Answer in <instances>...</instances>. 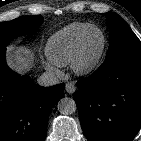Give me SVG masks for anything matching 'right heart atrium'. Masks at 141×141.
Wrapping results in <instances>:
<instances>
[{
    "instance_id": "obj_1",
    "label": "right heart atrium",
    "mask_w": 141,
    "mask_h": 141,
    "mask_svg": "<svg viewBox=\"0 0 141 141\" xmlns=\"http://www.w3.org/2000/svg\"><path fill=\"white\" fill-rule=\"evenodd\" d=\"M45 67L47 70L51 71V72H57V67L56 64H54L51 61H48L45 63Z\"/></svg>"
}]
</instances>
